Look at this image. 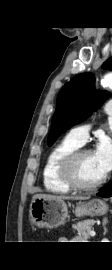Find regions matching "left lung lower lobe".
<instances>
[{
	"mask_svg": "<svg viewBox=\"0 0 112 270\" xmlns=\"http://www.w3.org/2000/svg\"><path fill=\"white\" fill-rule=\"evenodd\" d=\"M97 195L105 198L112 196V183L105 185L103 190L97 193Z\"/></svg>",
	"mask_w": 112,
	"mask_h": 270,
	"instance_id": "1",
	"label": "left lung lower lobe"
}]
</instances>
